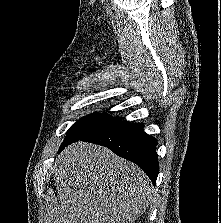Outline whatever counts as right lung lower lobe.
Returning a JSON list of instances; mask_svg holds the SVG:
<instances>
[{"label": "right lung lower lobe", "mask_w": 221, "mask_h": 223, "mask_svg": "<svg viewBox=\"0 0 221 223\" xmlns=\"http://www.w3.org/2000/svg\"><path fill=\"white\" fill-rule=\"evenodd\" d=\"M143 127L142 123L119 120L104 129H99L66 144L59 149V152L77 141L99 144L109 148L116 155L137 164L155 184L159 173V163L155 151L157 141L146 134Z\"/></svg>", "instance_id": "obj_1"}]
</instances>
